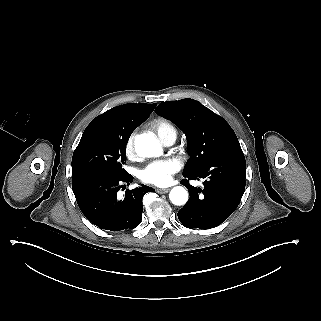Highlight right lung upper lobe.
I'll return each instance as SVG.
<instances>
[{"instance_id": "right-lung-upper-lobe-1", "label": "right lung upper lobe", "mask_w": 321, "mask_h": 321, "mask_svg": "<svg viewBox=\"0 0 321 321\" xmlns=\"http://www.w3.org/2000/svg\"><path fill=\"white\" fill-rule=\"evenodd\" d=\"M155 106L156 104L148 105L146 103L124 104L106 111L102 116L108 117L113 123L118 125L137 127L149 117Z\"/></svg>"}]
</instances>
